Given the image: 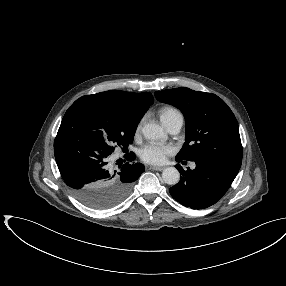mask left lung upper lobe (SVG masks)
Here are the masks:
<instances>
[{
    "label": "left lung upper lobe",
    "instance_id": "obj_1",
    "mask_svg": "<svg viewBox=\"0 0 286 286\" xmlns=\"http://www.w3.org/2000/svg\"><path fill=\"white\" fill-rule=\"evenodd\" d=\"M155 97L179 108L185 117L186 141L176 158L190 161L213 159L241 166L238 123L221 98L186 87L155 92Z\"/></svg>",
    "mask_w": 286,
    "mask_h": 286
}]
</instances>
